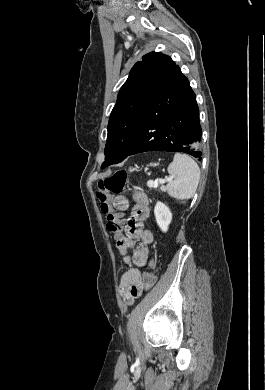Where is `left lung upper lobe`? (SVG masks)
I'll return each mask as SVG.
<instances>
[{
    "instance_id": "obj_1",
    "label": "left lung upper lobe",
    "mask_w": 265,
    "mask_h": 390,
    "mask_svg": "<svg viewBox=\"0 0 265 390\" xmlns=\"http://www.w3.org/2000/svg\"><path fill=\"white\" fill-rule=\"evenodd\" d=\"M175 66L169 56L160 52L144 55L133 66L109 118L105 161L101 168L126 158L137 138L146 108Z\"/></svg>"
}]
</instances>
